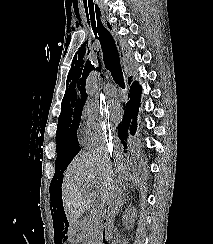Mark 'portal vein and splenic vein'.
I'll return each instance as SVG.
<instances>
[{"instance_id":"obj_1","label":"portal vein and splenic vein","mask_w":213,"mask_h":244,"mask_svg":"<svg viewBox=\"0 0 213 244\" xmlns=\"http://www.w3.org/2000/svg\"><path fill=\"white\" fill-rule=\"evenodd\" d=\"M93 187H97L96 183L92 185Z\"/></svg>"}]
</instances>
